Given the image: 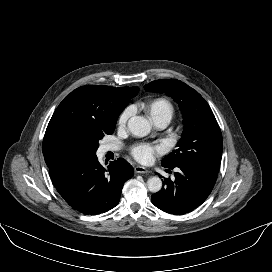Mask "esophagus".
<instances>
[{
	"instance_id": "obj_1",
	"label": "esophagus",
	"mask_w": 272,
	"mask_h": 272,
	"mask_svg": "<svg viewBox=\"0 0 272 272\" xmlns=\"http://www.w3.org/2000/svg\"><path fill=\"white\" fill-rule=\"evenodd\" d=\"M134 171H135V173H137V174H147V173H149V170L146 169V168L143 167V166H135V167H134Z\"/></svg>"
}]
</instances>
